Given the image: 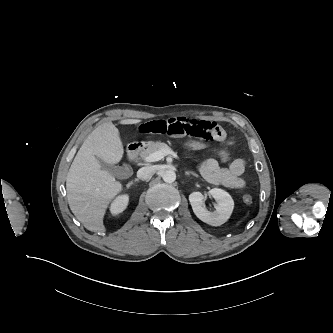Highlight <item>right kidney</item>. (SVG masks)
I'll use <instances>...</instances> for the list:
<instances>
[{"label": "right kidney", "instance_id": "ca27d5eb", "mask_svg": "<svg viewBox=\"0 0 333 333\" xmlns=\"http://www.w3.org/2000/svg\"><path fill=\"white\" fill-rule=\"evenodd\" d=\"M128 195H121L111 204L110 211L113 215L123 212L128 204Z\"/></svg>", "mask_w": 333, "mask_h": 333}]
</instances>
